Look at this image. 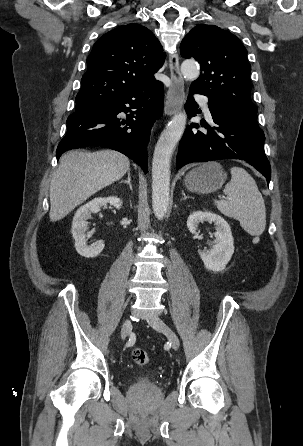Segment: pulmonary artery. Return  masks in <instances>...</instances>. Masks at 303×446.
I'll return each instance as SVG.
<instances>
[{"instance_id": "pulmonary-artery-1", "label": "pulmonary artery", "mask_w": 303, "mask_h": 446, "mask_svg": "<svg viewBox=\"0 0 303 446\" xmlns=\"http://www.w3.org/2000/svg\"><path fill=\"white\" fill-rule=\"evenodd\" d=\"M196 98L200 102V104L202 105V108H203L205 116L210 119L211 118V113H210V109H209V106H208L207 98L205 96H202V95H197Z\"/></svg>"}]
</instances>
